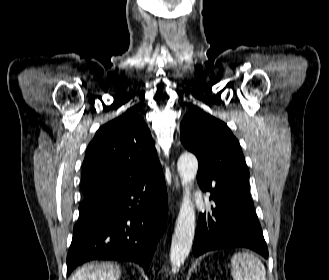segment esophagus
Segmentation results:
<instances>
[{
  "label": "esophagus",
  "mask_w": 329,
  "mask_h": 280,
  "mask_svg": "<svg viewBox=\"0 0 329 280\" xmlns=\"http://www.w3.org/2000/svg\"><path fill=\"white\" fill-rule=\"evenodd\" d=\"M173 180H174V186L178 189L179 188V181L178 177L173 175Z\"/></svg>",
  "instance_id": "34e87169"
}]
</instances>
